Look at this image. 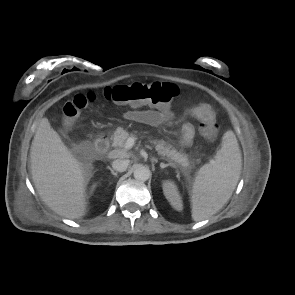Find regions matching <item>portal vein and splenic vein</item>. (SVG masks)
I'll use <instances>...</instances> for the list:
<instances>
[{
  "label": "portal vein and splenic vein",
  "instance_id": "obj_1",
  "mask_svg": "<svg viewBox=\"0 0 295 295\" xmlns=\"http://www.w3.org/2000/svg\"><path fill=\"white\" fill-rule=\"evenodd\" d=\"M134 143H135V139L133 138V137H129L128 139H127V141H126V143H125V149H130V148H132L133 147V145H134Z\"/></svg>",
  "mask_w": 295,
  "mask_h": 295
}]
</instances>
